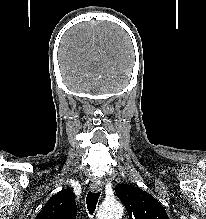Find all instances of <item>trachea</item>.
<instances>
[{
  "instance_id": "obj_1",
  "label": "trachea",
  "mask_w": 206,
  "mask_h": 219,
  "mask_svg": "<svg viewBox=\"0 0 206 219\" xmlns=\"http://www.w3.org/2000/svg\"><path fill=\"white\" fill-rule=\"evenodd\" d=\"M100 196V192L89 191L86 198L87 209L92 215L95 212L96 205Z\"/></svg>"
}]
</instances>
